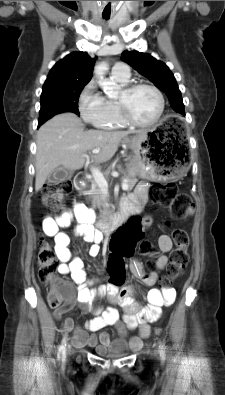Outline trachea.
<instances>
[{"mask_svg":"<svg viewBox=\"0 0 225 395\" xmlns=\"http://www.w3.org/2000/svg\"><path fill=\"white\" fill-rule=\"evenodd\" d=\"M109 17H110L109 15H103V18L106 20L109 19Z\"/></svg>","mask_w":225,"mask_h":395,"instance_id":"obj_1","label":"trachea"}]
</instances>
